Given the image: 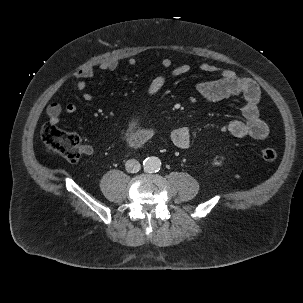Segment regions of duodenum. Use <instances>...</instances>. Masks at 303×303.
Returning <instances> with one entry per match:
<instances>
[{
  "instance_id": "1",
  "label": "duodenum",
  "mask_w": 303,
  "mask_h": 303,
  "mask_svg": "<svg viewBox=\"0 0 303 303\" xmlns=\"http://www.w3.org/2000/svg\"><path fill=\"white\" fill-rule=\"evenodd\" d=\"M129 142L131 144H135L136 145V144H139L140 142H143V138H142V136L140 134L135 133V134H133V135L130 136Z\"/></svg>"
}]
</instances>
